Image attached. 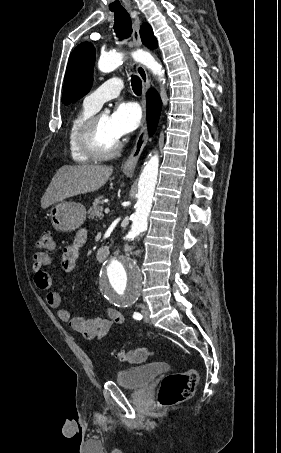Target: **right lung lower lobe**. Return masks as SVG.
I'll list each match as a JSON object with an SVG mask.
<instances>
[{"label": "right lung lower lobe", "mask_w": 281, "mask_h": 453, "mask_svg": "<svg viewBox=\"0 0 281 453\" xmlns=\"http://www.w3.org/2000/svg\"><path fill=\"white\" fill-rule=\"evenodd\" d=\"M146 100L148 113V130L150 135H152L159 120L161 100L158 94L152 89L148 91Z\"/></svg>", "instance_id": "1"}]
</instances>
